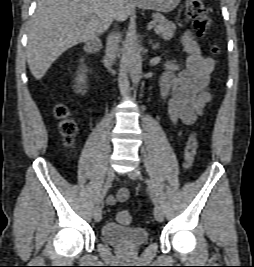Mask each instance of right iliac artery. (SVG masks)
<instances>
[{
  "mask_svg": "<svg viewBox=\"0 0 254 267\" xmlns=\"http://www.w3.org/2000/svg\"><path fill=\"white\" fill-rule=\"evenodd\" d=\"M112 178H107L103 188L101 189V192L98 195L97 202L100 204L102 200L104 199L105 195L107 194L109 188L111 187Z\"/></svg>",
  "mask_w": 254,
  "mask_h": 267,
  "instance_id": "82829eb1",
  "label": "right iliac artery"
}]
</instances>
